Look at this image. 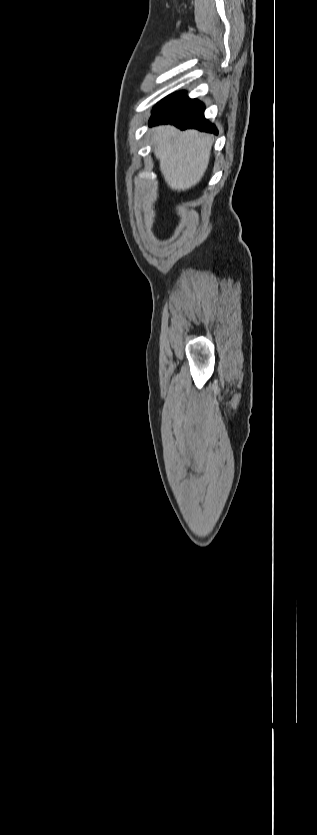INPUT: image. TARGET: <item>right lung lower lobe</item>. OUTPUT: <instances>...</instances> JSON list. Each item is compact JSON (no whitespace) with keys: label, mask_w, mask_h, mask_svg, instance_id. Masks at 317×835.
Here are the masks:
<instances>
[{"label":"right lung lower lobe","mask_w":317,"mask_h":835,"mask_svg":"<svg viewBox=\"0 0 317 835\" xmlns=\"http://www.w3.org/2000/svg\"><path fill=\"white\" fill-rule=\"evenodd\" d=\"M204 105L188 97L176 99L156 110L150 118V125L171 123L180 129L194 128L217 134V129L204 117Z\"/></svg>","instance_id":"98d812e1"}]
</instances>
